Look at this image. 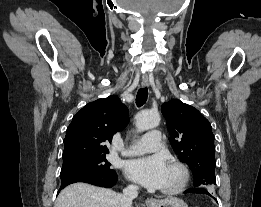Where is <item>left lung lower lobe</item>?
Here are the masks:
<instances>
[{
  "instance_id": "obj_1",
  "label": "left lung lower lobe",
  "mask_w": 261,
  "mask_h": 207,
  "mask_svg": "<svg viewBox=\"0 0 261 207\" xmlns=\"http://www.w3.org/2000/svg\"><path fill=\"white\" fill-rule=\"evenodd\" d=\"M184 193H198V194H207L211 196V194L203 188H194V189H188ZM212 197V196H211ZM214 198V197H213ZM215 199V198H214ZM216 200V199H215ZM217 201V200H216Z\"/></svg>"
}]
</instances>
